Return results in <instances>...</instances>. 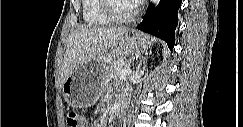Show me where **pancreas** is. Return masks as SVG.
Masks as SVG:
<instances>
[{"instance_id":"obj_1","label":"pancreas","mask_w":243,"mask_h":127,"mask_svg":"<svg viewBox=\"0 0 243 127\" xmlns=\"http://www.w3.org/2000/svg\"><path fill=\"white\" fill-rule=\"evenodd\" d=\"M123 68H128L126 61L124 60L114 61L108 69L107 80L119 78L121 75L118 74V70Z\"/></svg>"}]
</instances>
